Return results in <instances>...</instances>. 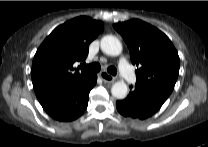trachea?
Returning <instances> with one entry per match:
<instances>
[{"mask_svg": "<svg viewBox=\"0 0 208 147\" xmlns=\"http://www.w3.org/2000/svg\"><path fill=\"white\" fill-rule=\"evenodd\" d=\"M82 68H83V69H86V70H88V71H90V72H92V73H97V72H99V71L101 70V66H100V64L97 63V62L92 63V64H89V65L83 64V65H82ZM107 71H108V73H110L111 75H116V74H117V70H116V68L113 67V66L108 67V68H107Z\"/></svg>", "mask_w": 208, "mask_h": 147, "instance_id": "3493384b", "label": "trachea"}]
</instances>
